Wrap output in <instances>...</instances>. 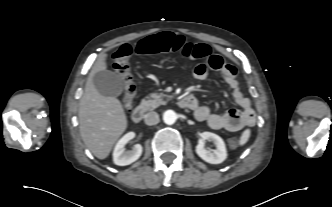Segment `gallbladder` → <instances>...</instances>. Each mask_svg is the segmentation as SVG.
Wrapping results in <instances>:
<instances>
[{"instance_id": "1", "label": "gallbladder", "mask_w": 332, "mask_h": 207, "mask_svg": "<svg viewBox=\"0 0 332 207\" xmlns=\"http://www.w3.org/2000/svg\"><path fill=\"white\" fill-rule=\"evenodd\" d=\"M93 83L97 91L103 96H120L123 83L120 77L112 71L103 70L94 74Z\"/></svg>"}]
</instances>
